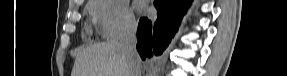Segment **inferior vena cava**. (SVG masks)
Here are the masks:
<instances>
[{"mask_svg":"<svg viewBox=\"0 0 287 76\" xmlns=\"http://www.w3.org/2000/svg\"><path fill=\"white\" fill-rule=\"evenodd\" d=\"M137 24L130 21L125 26L121 36L120 45L129 64V76H141V59L137 52Z\"/></svg>","mask_w":287,"mask_h":76,"instance_id":"602c4592","label":"inferior vena cava"}]
</instances>
